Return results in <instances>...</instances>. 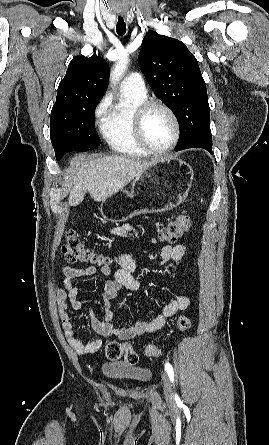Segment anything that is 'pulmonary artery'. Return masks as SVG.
<instances>
[{
  "instance_id": "pulmonary-artery-1",
  "label": "pulmonary artery",
  "mask_w": 269,
  "mask_h": 445,
  "mask_svg": "<svg viewBox=\"0 0 269 445\" xmlns=\"http://www.w3.org/2000/svg\"><path fill=\"white\" fill-rule=\"evenodd\" d=\"M122 90H129L139 95H146L145 83L139 73H131L121 83Z\"/></svg>"
}]
</instances>
